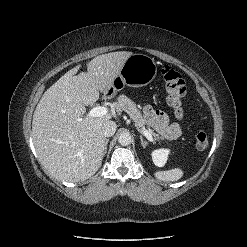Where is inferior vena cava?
<instances>
[{
    "instance_id": "602c4592",
    "label": "inferior vena cava",
    "mask_w": 247,
    "mask_h": 247,
    "mask_svg": "<svg viewBox=\"0 0 247 247\" xmlns=\"http://www.w3.org/2000/svg\"><path fill=\"white\" fill-rule=\"evenodd\" d=\"M116 129H117V125L113 121L109 120L103 124V134L105 137L113 136L116 132Z\"/></svg>"
}]
</instances>
